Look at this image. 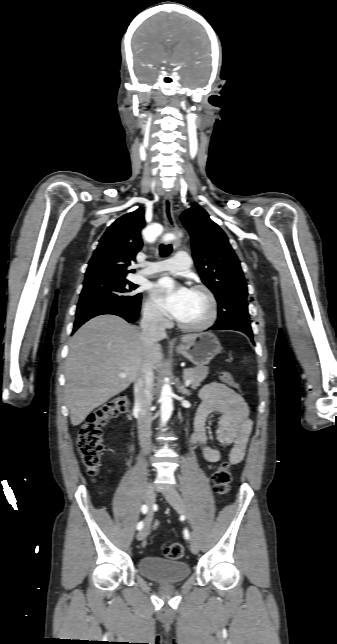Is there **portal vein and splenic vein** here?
Returning <instances> with one entry per match:
<instances>
[{
  "label": "portal vein and splenic vein",
  "instance_id": "1",
  "mask_svg": "<svg viewBox=\"0 0 337 644\" xmlns=\"http://www.w3.org/2000/svg\"><path fill=\"white\" fill-rule=\"evenodd\" d=\"M119 376L122 377V378H125V377H127V374L126 373H121V374H119ZM190 384H191V379H186L185 380V385L189 386Z\"/></svg>",
  "mask_w": 337,
  "mask_h": 644
}]
</instances>
